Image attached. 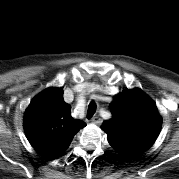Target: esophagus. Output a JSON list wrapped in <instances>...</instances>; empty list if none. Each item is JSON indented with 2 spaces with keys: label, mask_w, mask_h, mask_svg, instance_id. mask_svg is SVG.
I'll return each mask as SVG.
<instances>
[{
  "label": "esophagus",
  "mask_w": 179,
  "mask_h": 179,
  "mask_svg": "<svg viewBox=\"0 0 179 179\" xmlns=\"http://www.w3.org/2000/svg\"><path fill=\"white\" fill-rule=\"evenodd\" d=\"M91 121H92L93 123L97 124V125H100V124L103 122L102 118H100L99 115H95V116L91 119Z\"/></svg>",
  "instance_id": "obj_1"
}]
</instances>
